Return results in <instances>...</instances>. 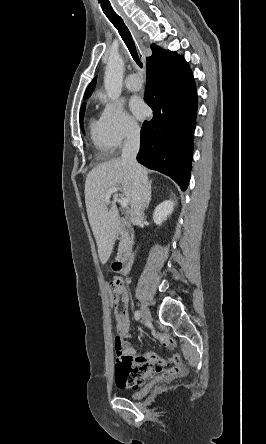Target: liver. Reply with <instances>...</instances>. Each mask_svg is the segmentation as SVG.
I'll return each mask as SVG.
<instances>
[{
  "mask_svg": "<svg viewBox=\"0 0 266 444\" xmlns=\"http://www.w3.org/2000/svg\"><path fill=\"white\" fill-rule=\"evenodd\" d=\"M147 176V170L144 169ZM120 186L123 195L132 204L134 176L129 164L122 158H115L93 168L85 181V203L95 237L101 263L108 261L116 236L119 231L120 219L116 206L117 195H114L111 208L105 202L106 193L113 187Z\"/></svg>",
  "mask_w": 266,
  "mask_h": 444,
  "instance_id": "obj_1",
  "label": "liver"
}]
</instances>
